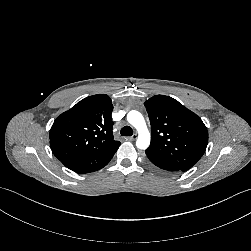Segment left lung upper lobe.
Wrapping results in <instances>:
<instances>
[{
  "label": "left lung upper lobe",
  "mask_w": 251,
  "mask_h": 251,
  "mask_svg": "<svg viewBox=\"0 0 251 251\" xmlns=\"http://www.w3.org/2000/svg\"><path fill=\"white\" fill-rule=\"evenodd\" d=\"M151 123V143L146 155L181 171L190 169L204 154L208 131L195 113L177 100L155 95L144 103Z\"/></svg>",
  "instance_id": "obj_1"
}]
</instances>
